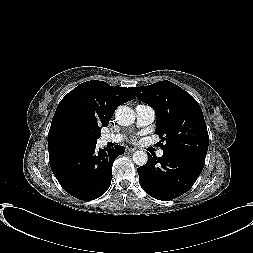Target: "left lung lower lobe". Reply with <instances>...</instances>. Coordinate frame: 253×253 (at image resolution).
<instances>
[{
  "instance_id": "1",
  "label": "left lung lower lobe",
  "mask_w": 253,
  "mask_h": 253,
  "mask_svg": "<svg viewBox=\"0 0 253 253\" xmlns=\"http://www.w3.org/2000/svg\"><path fill=\"white\" fill-rule=\"evenodd\" d=\"M148 162L137 169L146 193L158 200H172L186 193L201 174L204 162L178 153L149 155Z\"/></svg>"
}]
</instances>
